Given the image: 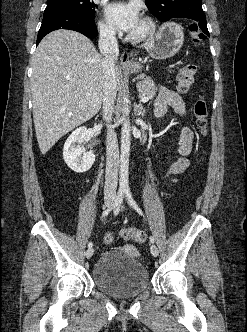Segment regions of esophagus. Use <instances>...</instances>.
Returning a JSON list of instances; mask_svg holds the SVG:
<instances>
[{"instance_id": "esophagus-1", "label": "esophagus", "mask_w": 247, "mask_h": 332, "mask_svg": "<svg viewBox=\"0 0 247 332\" xmlns=\"http://www.w3.org/2000/svg\"><path fill=\"white\" fill-rule=\"evenodd\" d=\"M120 64L123 67L132 66L133 60H132V54L129 51H124L120 58Z\"/></svg>"}]
</instances>
